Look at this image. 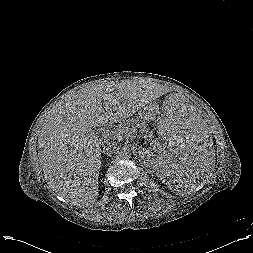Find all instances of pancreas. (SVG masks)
<instances>
[{
  "label": "pancreas",
  "mask_w": 253,
  "mask_h": 253,
  "mask_svg": "<svg viewBox=\"0 0 253 253\" xmlns=\"http://www.w3.org/2000/svg\"><path fill=\"white\" fill-rule=\"evenodd\" d=\"M136 128H140V133L144 137L145 140L151 142L154 145L155 141L152 140L153 134L149 132V128L146 125L145 121L139 120H129L120 123L116 128L113 130H109L106 132V135L114 140H121L123 138H128Z\"/></svg>",
  "instance_id": "1"
}]
</instances>
